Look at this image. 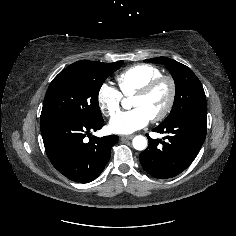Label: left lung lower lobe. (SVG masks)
Returning <instances> with one entry per match:
<instances>
[{
	"instance_id": "obj_1",
	"label": "left lung lower lobe",
	"mask_w": 236,
	"mask_h": 236,
	"mask_svg": "<svg viewBox=\"0 0 236 236\" xmlns=\"http://www.w3.org/2000/svg\"><path fill=\"white\" fill-rule=\"evenodd\" d=\"M153 131L168 134L166 141L148 136L149 145L139 155L141 165L156 178L175 177L192 163L205 140L207 110L190 111Z\"/></svg>"
}]
</instances>
